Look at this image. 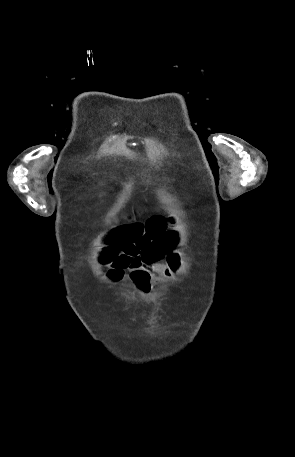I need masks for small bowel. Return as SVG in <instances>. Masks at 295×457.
Segmentation results:
<instances>
[{
  "instance_id": "c3829d8e",
  "label": "small bowel",
  "mask_w": 295,
  "mask_h": 457,
  "mask_svg": "<svg viewBox=\"0 0 295 457\" xmlns=\"http://www.w3.org/2000/svg\"><path fill=\"white\" fill-rule=\"evenodd\" d=\"M170 222L169 218L154 215L144 224L135 223L113 230L104 239L102 259L105 261L128 247H135L139 251L136 256L139 264L130 269L128 279L142 290L162 278L173 276L181 266V258L174 251L178 238L167 230Z\"/></svg>"
}]
</instances>
